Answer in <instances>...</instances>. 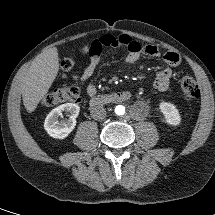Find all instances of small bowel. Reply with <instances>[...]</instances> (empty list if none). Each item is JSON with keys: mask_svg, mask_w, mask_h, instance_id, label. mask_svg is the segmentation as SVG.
I'll list each match as a JSON object with an SVG mask.
<instances>
[{"mask_svg": "<svg viewBox=\"0 0 215 215\" xmlns=\"http://www.w3.org/2000/svg\"><path fill=\"white\" fill-rule=\"evenodd\" d=\"M84 48L87 50L89 63L83 70L79 81L81 83L88 82L86 92L90 97L95 96L97 93V88L91 79L101 61V55L105 48H125L127 50L125 60L128 63L137 62L143 55L158 59L159 63L161 65H165V67L157 72L153 85L161 92L172 91L171 67H176L181 62V59L177 53L170 51L162 56L156 46L146 45L142 47L139 42L133 40L126 34H122L120 36H112L110 34L102 35L85 45Z\"/></svg>", "mask_w": 215, "mask_h": 215, "instance_id": "c3829d8e", "label": "small bowel"}]
</instances>
